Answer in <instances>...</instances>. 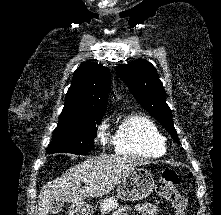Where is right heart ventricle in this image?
Segmentation results:
<instances>
[{"label":"right heart ventricle","instance_id":"right-heart-ventricle-1","mask_svg":"<svg viewBox=\"0 0 221 215\" xmlns=\"http://www.w3.org/2000/svg\"><path fill=\"white\" fill-rule=\"evenodd\" d=\"M114 150L122 155L156 158L165 154L164 137L156 122L140 113L126 116L113 136Z\"/></svg>","mask_w":221,"mask_h":215}]
</instances>
